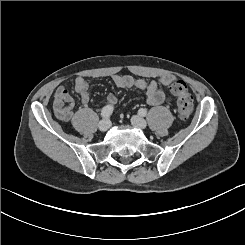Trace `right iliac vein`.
Returning <instances> with one entry per match:
<instances>
[{
  "label": "right iliac vein",
  "instance_id": "obj_1",
  "mask_svg": "<svg viewBox=\"0 0 245 245\" xmlns=\"http://www.w3.org/2000/svg\"><path fill=\"white\" fill-rule=\"evenodd\" d=\"M111 123L108 119H104L102 121H100L98 128L100 131L105 132L106 130L109 129Z\"/></svg>",
  "mask_w": 245,
  "mask_h": 245
}]
</instances>
